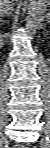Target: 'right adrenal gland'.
Listing matches in <instances>:
<instances>
[{
  "label": "right adrenal gland",
  "mask_w": 50,
  "mask_h": 148,
  "mask_svg": "<svg viewBox=\"0 0 50 148\" xmlns=\"http://www.w3.org/2000/svg\"><path fill=\"white\" fill-rule=\"evenodd\" d=\"M9 14V11L4 10L3 12H1V17L8 16Z\"/></svg>",
  "instance_id": "obj_1"
}]
</instances>
